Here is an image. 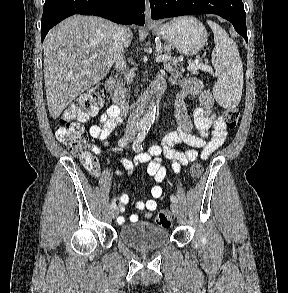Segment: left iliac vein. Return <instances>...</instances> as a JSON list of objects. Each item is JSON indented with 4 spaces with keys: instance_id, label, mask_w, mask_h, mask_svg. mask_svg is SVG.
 <instances>
[{
    "instance_id": "4c4485c4",
    "label": "left iliac vein",
    "mask_w": 288,
    "mask_h": 293,
    "mask_svg": "<svg viewBox=\"0 0 288 293\" xmlns=\"http://www.w3.org/2000/svg\"><path fill=\"white\" fill-rule=\"evenodd\" d=\"M171 211H172V213H173V215L174 216H178V214H179V207H178V205H177V203L176 202H172L171 203Z\"/></svg>"
}]
</instances>
